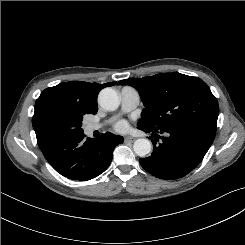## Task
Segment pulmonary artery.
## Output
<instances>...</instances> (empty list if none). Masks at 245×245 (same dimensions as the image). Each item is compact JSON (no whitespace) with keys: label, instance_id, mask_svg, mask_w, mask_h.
Wrapping results in <instances>:
<instances>
[{"label":"pulmonary artery","instance_id":"obj_1","mask_svg":"<svg viewBox=\"0 0 245 245\" xmlns=\"http://www.w3.org/2000/svg\"><path fill=\"white\" fill-rule=\"evenodd\" d=\"M139 93L136 89L125 86L121 89V109L123 112H129L136 108L139 103ZM103 124L99 123H90L86 126V130L88 133H91L95 130L100 129Z\"/></svg>","mask_w":245,"mask_h":245}]
</instances>
